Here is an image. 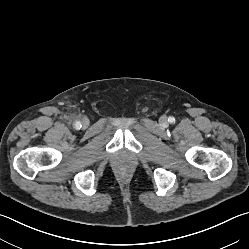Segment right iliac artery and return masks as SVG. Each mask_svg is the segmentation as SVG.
Instances as JSON below:
<instances>
[{
    "instance_id": "1",
    "label": "right iliac artery",
    "mask_w": 249,
    "mask_h": 249,
    "mask_svg": "<svg viewBox=\"0 0 249 249\" xmlns=\"http://www.w3.org/2000/svg\"><path fill=\"white\" fill-rule=\"evenodd\" d=\"M75 128H76V129L81 128V123H80V121H77V122L75 123Z\"/></svg>"
}]
</instances>
